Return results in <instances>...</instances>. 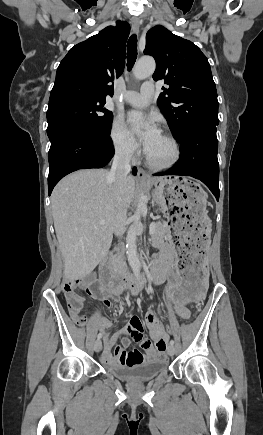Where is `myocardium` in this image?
I'll return each mask as SVG.
<instances>
[{"instance_id":"1","label":"myocardium","mask_w":263,"mask_h":435,"mask_svg":"<svg viewBox=\"0 0 263 435\" xmlns=\"http://www.w3.org/2000/svg\"><path fill=\"white\" fill-rule=\"evenodd\" d=\"M162 136H164L172 144L173 149H174V155H173L172 159L169 160L168 162L159 164V163H155L154 161H152L151 158L149 157L148 153L146 152L145 159H146L147 166L153 170H156V171H162V170H166V169L173 167L174 165H176L179 162V160L181 158V147H180V144L177 141V139L172 134L167 133V132H164L162 134Z\"/></svg>"}]
</instances>
